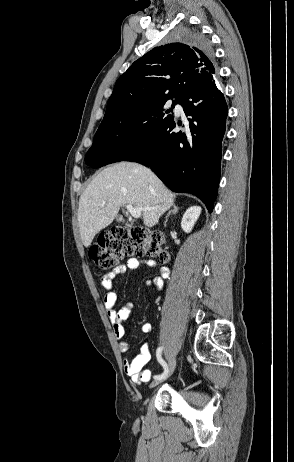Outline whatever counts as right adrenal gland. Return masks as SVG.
<instances>
[{
    "label": "right adrenal gland",
    "mask_w": 294,
    "mask_h": 462,
    "mask_svg": "<svg viewBox=\"0 0 294 462\" xmlns=\"http://www.w3.org/2000/svg\"><path fill=\"white\" fill-rule=\"evenodd\" d=\"M178 211H179V207H177L176 205H173L172 210H170V211L167 213L166 217H165V222H164V225H165V226H166V223H167V221H168L169 216H170L171 214H176V213H178Z\"/></svg>",
    "instance_id": "2a0ac1e0"
}]
</instances>
